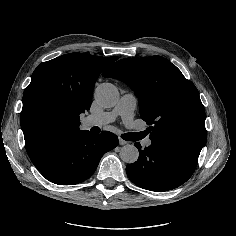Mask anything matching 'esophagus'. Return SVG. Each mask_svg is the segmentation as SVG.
<instances>
[{"label": "esophagus", "mask_w": 236, "mask_h": 236, "mask_svg": "<svg viewBox=\"0 0 236 236\" xmlns=\"http://www.w3.org/2000/svg\"><path fill=\"white\" fill-rule=\"evenodd\" d=\"M119 144L120 145H126L127 142L125 140H123L122 138H119Z\"/></svg>", "instance_id": "1"}]
</instances>
